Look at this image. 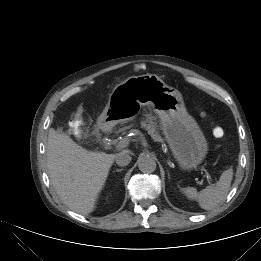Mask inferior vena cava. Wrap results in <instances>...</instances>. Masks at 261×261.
Returning <instances> with one entry per match:
<instances>
[{
	"instance_id": "1",
	"label": "inferior vena cava",
	"mask_w": 261,
	"mask_h": 261,
	"mask_svg": "<svg viewBox=\"0 0 261 261\" xmlns=\"http://www.w3.org/2000/svg\"><path fill=\"white\" fill-rule=\"evenodd\" d=\"M115 161L119 166H126L131 161V156L128 151H122L115 156Z\"/></svg>"
}]
</instances>
